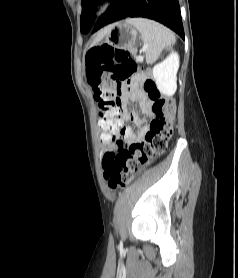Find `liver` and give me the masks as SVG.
<instances>
[{"instance_id":"1","label":"liver","mask_w":238,"mask_h":278,"mask_svg":"<svg viewBox=\"0 0 238 278\" xmlns=\"http://www.w3.org/2000/svg\"><path fill=\"white\" fill-rule=\"evenodd\" d=\"M105 33H106L105 29L102 30V31H100V32L98 33L97 37L95 38L93 44L99 42V41L104 37Z\"/></svg>"}]
</instances>
